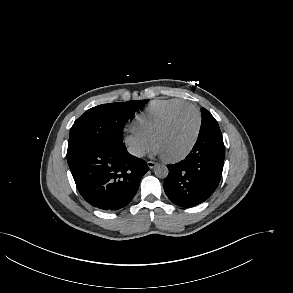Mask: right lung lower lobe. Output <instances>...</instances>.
<instances>
[{
	"label": "right lung lower lobe",
	"instance_id": "right-lung-lower-lobe-1",
	"mask_svg": "<svg viewBox=\"0 0 293 293\" xmlns=\"http://www.w3.org/2000/svg\"><path fill=\"white\" fill-rule=\"evenodd\" d=\"M67 160L82 197L108 211L129 204L148 171L146 162L129 154L123 142L100 144Z\"/></svg>",
	"mask_w": 293,
	"mask_h": 293
}]
</instances>
